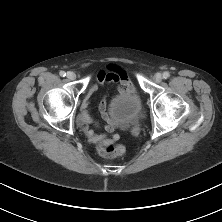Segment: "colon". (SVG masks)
I'll return each mask as SVG.
<instances>
[{
    "instance_id": "5ec220e1",
    "label": "colon",
    "mask_w": 222,
    "mask_h": 222,
    "mask_svg": "<svg viewBox=\"0 0 222 222\" xmlns=\"http://www.w3.org/2000/svg\"><path fill=\"white\" fill-rule=\"evenodd\" d=\"M98 151L107 158H118L125 154V148L122 145L113 143L99 144Z\"/></svg>"
}]
</instances>
